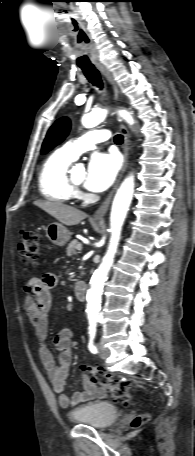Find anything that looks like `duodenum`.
<instances>
[{"label":"duodenum","instance_id":"410a0bca","mask_svg":"<svg viewBox=\"0 0 195 456\" xmlns=\"http://www.w3.org/2000/svg\"><path fill=\"white\" fill-rule=\"evenodd\" d=\"M75 296L78 300L84 301L87 295V285L84 281H77L74 286Z\"/></svg>","mask_w":195,"mask_h":456}]
</instances>
